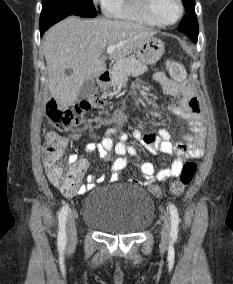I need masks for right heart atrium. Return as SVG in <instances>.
<instances>
[{"mask_svg": "<svg viewBox=\"0 0 233 284\" xmlns=\"http://www.w3.org/2000/svg\"><path fill=\"white\" fill-rule=\"evenodd\" d=\"M95 1H98V2H100V3H102V4H103V2H104V0H95Z\"/></svg>", "mask_w": 233, "mask_h": 284, "instance_id": "right-heart-atrium-1", "label": "right heart atrium"}]
</instances>
